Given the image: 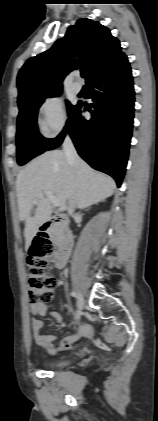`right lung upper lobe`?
<instances>
[{
  "instance_id": "obj_1",
  "label": "right lung upper lobe",
  "mask_w": 158,
  "mask_h": 421,
  "mask_svg": "<svg viewBox=\"0 0 158 421\" xmlns=\"http://www.w3.org/2000/svg\"><path fill=\"white\" fill-rule=\"evenodd\" d=\"M122 53L119 40L107 27L87 18L79 19L51 49L30 58L21 68L17 77L18 104L61 91L65 76L78 68L86 73L87 82Z\"/></svg>"
}]
</instances>
